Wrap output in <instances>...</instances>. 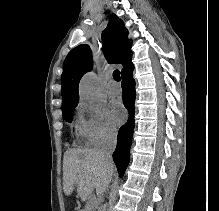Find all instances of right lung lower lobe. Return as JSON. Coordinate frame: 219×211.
I'll return each instance as SVG.
<instances>
[{
	"mask_svg": "<svg viewBox=\"0 0 219 211\" xmlns=\"http://www.w3.org/2000/svg\"><path fill=\"white\" fill-rule=\"evenodd\" d=\"M134 66L131 64L122 72V98L125 107L129 112V118L125 125H123L117 136V147L113 153V160L117 166L120 177L124 172L130 161V147L134 130V102H135V80L133 79Z\"/></svg>",
	"mask_w": 219,
	"mask_h": 211,
	"instance_id": "98d812e1",
	"label": "right lung lower lobe"
}]
</instances>
